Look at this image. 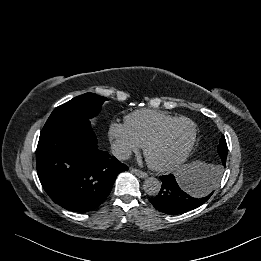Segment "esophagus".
Returning <instances> with one entry per match:
<instances>
[{
  "mask_svg": "<svg viewBox=\"0 0 261 261\" xmlns=\"http://www.w3.org/2000/svg\"><path fill=\"white\" fill-rule=\"evenodd\" d=\"M131 172H133L136 176H138L139 178H146L148 177V174L142 170L136 169V168H132Z\"/></svg>",
  "mask_w": 261,
  "mask_h": 261,
  "instance_id": "1",
  "label": "esophagus"
}]
</instances>
